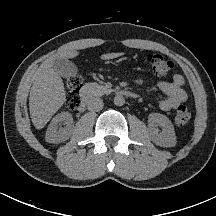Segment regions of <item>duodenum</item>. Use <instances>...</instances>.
I'll return each instance as SVG.
<instances>
[{
  "instance_id": "1",
  "label": "duodenum",
  "mask_w": 216,
  "mask_h": 216,
  "mask_svg": "<svg viewBox=\"0 0 216 216\" xmlns=\"http://www.w3.org/2000/svg\"><path fill=\"white\" fill-rule=\"evenodd\" d=\"M114 94L119 96H124L127 98H136L137 94L127 90V89H117L114 90ZM89 99H88V93L86 90L81 91V98H80V104H79V110H84L88 105Z\"/></svg>"
}]
</instances>
